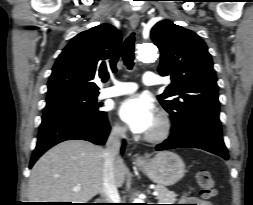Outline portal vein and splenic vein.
Wrapping results in <instances>:
<instances>
[{
	"label": "portal vein and splenic vein",
	"mask_w": 253,
	"mask_h": 205,
	"mask_svg": "<svg viewBox=\"0 0 253 205\" xmlns=\"http://www.w3.org/2000/svg\"><path fill=\"white\" fill-rule=\"evenodd\" d=\"M80 188H81V186L78 184V185H76V186L73 188V190H74V191H78V190H80ZM158 194H159V193H158V191H156V190L153 192V195H154V196H157Z\"/></svg>",
	"instance_id": "18ae733b"
}]
</instances>
